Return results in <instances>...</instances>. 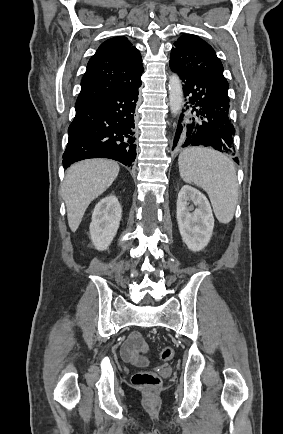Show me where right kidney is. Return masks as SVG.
<instances>
[{
  "mask_svg": "<svg viewBox=\"0 0 283 434\" xmlns=\"http://www.w3.org/2000/svg\"><path fill=\"white\" fill-rule=\"evenodd\" d=\"M121 214V205L114 195L103 198L95 206L89 230L97 250L103 251L109 247L119 228Z\"/></svg>",
  "mask_w": 283,
  "mask_h": 434,
  "instance_id": "right-kidney-1",
  "label": "right kidney"
}]
</instances>
